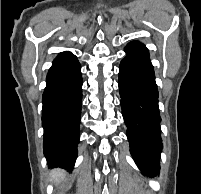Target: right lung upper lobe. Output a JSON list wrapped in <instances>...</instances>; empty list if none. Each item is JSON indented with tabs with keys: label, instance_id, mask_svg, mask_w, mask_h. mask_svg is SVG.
Listing matches in <instances>:
<instances>
[{
	"label": "right lung upper lobe",
	"instance_id": "cb5924a9",
	"mask_svg": "<svg viewBox=\"0 0 201 194\" xmlns=\"http://www.w3.org/2000/svg\"><path fill=\"white\" fill-rule=\"evenodd\" d=\"M68 57H74V55L70 52H62L58 55V57L55 59H63V58H68Z\"/></svg>",
	"mask_w": 201,
	"mask_h": 194
}]
</instances>
